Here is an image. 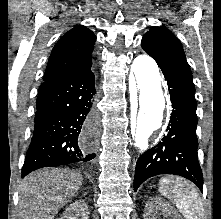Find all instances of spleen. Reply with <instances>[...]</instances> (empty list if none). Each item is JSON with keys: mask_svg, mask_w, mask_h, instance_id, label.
Listing matches in <instances>:
<instances>
[{"mask_svg": "<svg viewBox=\"0 0 221 219\" xmlns=\"http://www.w3.org/2000/svg\"><path fill=\"white\" fill-rule=\"evenodd\" d=\"M159 191L175 203L186 219H201L204 215L203 204L189 182L173 176L165 177L159 182Z\"/></svg>", "mask_w": 221, "mask_h": 219, "instance_id": "3e777b00", "label": "spleen"}]
</instances>
